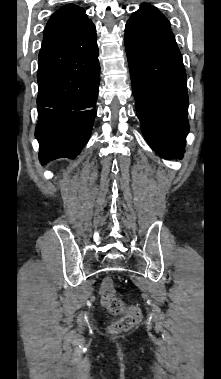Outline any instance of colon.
Segmentation results:
<instances>
[{"label":"colon","mask_w":221,"mask_h":379,"mask_svg":"<svg viewBox=\"0 0 221 379\" xmlns=\"http://www.w3.org/2000/svg\"><path fill=\"white\" fill-rule=\"evenodd\" d=\"M100 299L103 307L112 315H122L109 327L111 333L125 332L137 325L141 319V311L136 306H126L116 296L113 281L105 278L100 287Z\"/></svg>","instance_id":"1"}]
</instances>
